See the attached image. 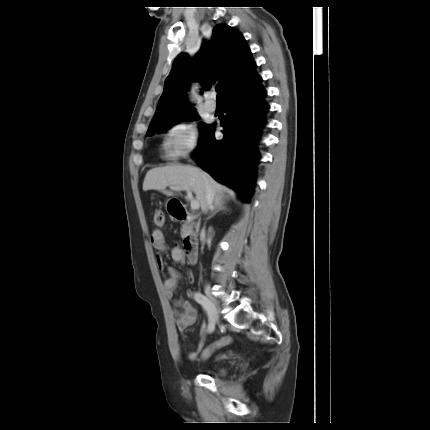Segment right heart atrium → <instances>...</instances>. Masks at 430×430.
I'll return each mask as SVG.
<instances>
[{
	"instance_id": "d8ad5b80",
	"label": "right heart atrium",
	"mask_w": 430,
	"mask_h": 430,
	"mask_svg": "<svg viewBox=\"0 0 430 430\" xmlns=\"http://www.w3.org/2000/svg\"><path fill=\"white\" fill-rule=\"evenodd\" d=\"M197 145V130L195 124L182 119L174 122L166 130L162 149L166 157L177 159L185 156Z\"/></svg>"
}]
</instances>
